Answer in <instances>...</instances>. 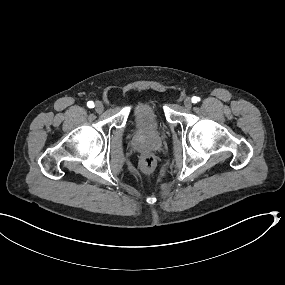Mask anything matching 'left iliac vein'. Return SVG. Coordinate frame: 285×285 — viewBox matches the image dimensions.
Returning <instances> with one entry per match:
<instances>
[{
    "label": "left iliac vein",
    "instance_id": "4c4485c4",
    "mask_svg": "<svg viewBox=\"0 0 285 285\" xmlns=\"http://www.w3.org/2000/svg\"><path fill=\"white\" fill-rule=\"evenodd\" d=\"M184 106L186 109H190L192 107V101L189 97L184 100Z\"/></svg>",
    "mask_w": 285,
    "mask_h": 285
}]
</instances>
